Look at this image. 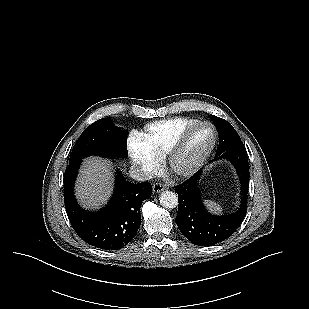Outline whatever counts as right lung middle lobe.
<instances>
[{"mask_svg":"<svg viewBox=\"0 0 309 309\" xmlns=\"http://www.w3.org/2000/svg\"><path fill=\"white\" fill-rule=\"evenodd\" d=\"M127 130L116 127L109 118L100 119L88 126L75 143L69 164L89 155L109 158L127 157Z\"/></svg>","mask_w":309,"mask_h":309,"instance_id":"dd1d6c3e","label":"right lung middle lobe"}]
</instances>
